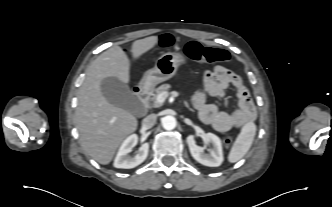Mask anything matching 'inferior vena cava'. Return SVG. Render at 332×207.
<instances>
[{"mask_svg":"<svg viewBox=\"0 0 332 207\" xmlns=\"http://www.w3.org/2000/svg\"><path fill=\"white\" fill-rule=\"evenodd\" d=\"M156 119H157V116L155 114L148 115L142 121L143 127L147 128V129L153 127L156 123Z\"/></svg>","mask_w":332,"mask_h":207,"instance_id":"inferior-vena-cava-1","label":"inferior vena cava"}]
</instances>
